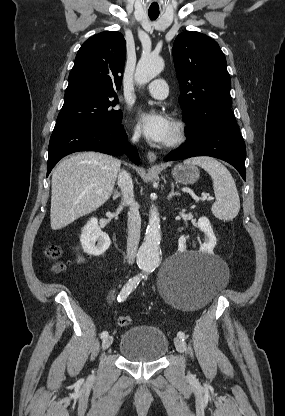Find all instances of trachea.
Returning <instances> with one entry per match:
<instances>
[{"instance_id":"1","label":"trachea","mask_w":285,"mask_h":416,"mask_svg":"<svg viewBox=\"0 0 285 416\" xmlns=\"http://www.w3.org/2000/svg\"><path fill=\"white\" fill-rule=\"evenodd\" d=\"M148 15L151 20H156V18L159 16L158 13H149Z\"/></svg>"}]
</instances>
